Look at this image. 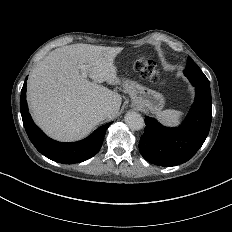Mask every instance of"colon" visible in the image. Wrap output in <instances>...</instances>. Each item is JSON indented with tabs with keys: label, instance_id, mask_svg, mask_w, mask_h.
<instances>
[{
	"label": "colon",
	"instance_id": "5ec220e1",
	"mask_svg": "<svg viewBox=\"0 0 232 232\" xmlns=\"http://www.w3.org/2000/svg\"><path fill=\"white\" fill-rule=\"evenodd\" d=\"M134 70H138L139 73H159L160 69L155 68L154 65H146L145 61H136V65L133 66ZM144 79H153L154 86H159L157 74H144Z\"/></svg>",
	"mask_w": 232,
	"mask_h": 232
}]
</instances>
